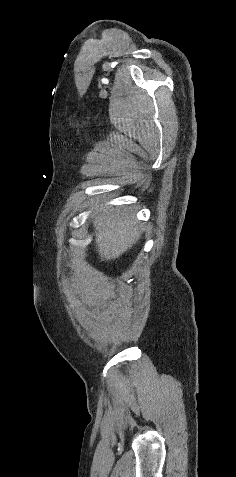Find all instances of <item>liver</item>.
<instances>
[{
	"label": "liver",
	"instance_id": "obj_1",
	"mask_svg": "<svg viewBox=\"0 0 236 477\" xmlns=\"http://www.w3.org/2000/svg\"><path fill=\"white\" fill-rule=\"evenodd\" d=\"M96 248L102 261L119 258L141 237L131 208L106 209L94 219Z\"/></svg>",
	"mask_w": 236,
	"mask_h": 477
}]
</instances>
